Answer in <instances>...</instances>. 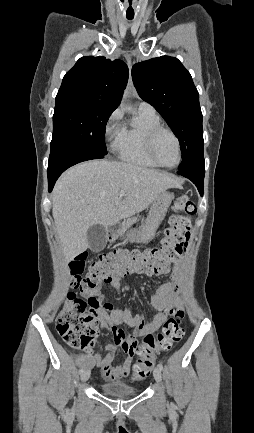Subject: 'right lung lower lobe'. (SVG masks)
<instances>
[{"label": "right lung lower lobe", "mask_w": 254, "mask_h": 433, "mask_svg": "<svg viewBox=\"0 0 254 433\" xmlns=\"http://www.w3.org/2000/svg\"><path fill=\"white\" fill-rule=\"evenodd\" d=\"M103 157L71 142H64L55 149H51L48 165L49 192L52 191L56 180L67 168L79 162Z\"/></svg>", "instance_id": "1"}]
</instances>
